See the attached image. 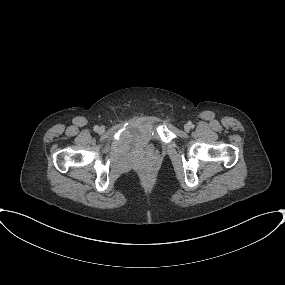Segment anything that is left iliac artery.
<instances>
[{"mask_svg": "<svg viewBox=\"0 0 285 285\" xmlns=\"http://www.w3.org/2000/svg\"><path fill=\"white\" fill-rule=\"evenodd\" d=\"M189 125H190L192 128L194 127V125H193L191 122L189 123Z\"/></svg>", "mask_w": 285, "mask_h": 285, "instance_id": "obj_1", "label": "left iliac artery"}]
</instances>
